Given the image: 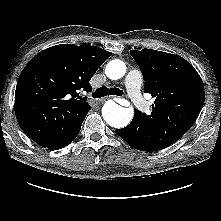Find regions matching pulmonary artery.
<instances>
[{
	"mask_svg": "<svg viewBox=\"0 0 221 221\" xmlns=\"http://www.w3.org/2000/svg\"><path fill=\"white\" fill-rule=\"evenodd\" d=\"M142 84V75L139 70L132 69L129 71L125 78V86L128 92V95L134 105L141 111L147 112L150 109V104L143 99L140 87Z\"/></svg>",
	"mask_w": 221,
	"mask_h": 221,
	"instance_id": "e3ab8cb5",
	"label": "pulmonary artery"
}]
</instances>
